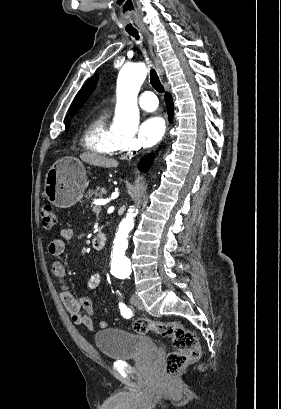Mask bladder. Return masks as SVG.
<instances>
[{
  "label": "bladder",
  "instance_id": "31cf9c89",
  "mask_svg": "<svg viewBox=\"0 0 281 409\" xmlns=\"http://www.w3.org/2000/svg\"><path fill=\"white\" fill-rule=\"evenodd\" d=\"M96 350L108 361L126 362L133 355H157L158 344L146 333H133L123 328L106 327L93 337Z\"/></svg>",
  "mask_w": 281,
  "mask_h": 409
}]
</instances>
